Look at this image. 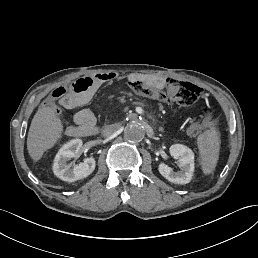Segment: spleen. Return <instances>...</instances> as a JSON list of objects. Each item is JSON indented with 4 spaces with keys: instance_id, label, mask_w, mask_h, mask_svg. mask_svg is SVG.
Segmentation results:
<instances>
[{
    "instance_id": "3e777b00",
    "label": "spleen",
    "mask_w": 258,
    "mask_h": 258,
    "mask_svg": "<svg viewBox=\"0 0 258 258\" xmlns=\"http://www.w3.org/2000/svg\"><path fill=\"white\" fill-rule=\"evenodd\" d=\"M197 144L201 156L202 171L206 175L210 174L214 171L219 159V132L212 127L198 136Z\"/></svg>"
}]
</instances>
